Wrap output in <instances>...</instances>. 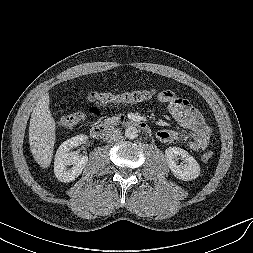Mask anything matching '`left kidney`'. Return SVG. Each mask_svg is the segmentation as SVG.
Masks as SVG:
<instances>
[{
    "label": "left kidney",
    "mask_w": 253,
    "mask_h": 253,
    "mask_svg": "<svg viewBox=\"0 0 253 253\" xmlns=\"http://www.w3.org/2000/svg\"><path fill=\"white\" fill-rule=\"evenodd\" d=\"M179 157L183 163L178 164ZM168 167L175 177L183 181L196 179L200 175V166L193 156L179 147H169L165 150Z\"/></svg>",
    "instance_id": "obj_1"
}]
</instances>
